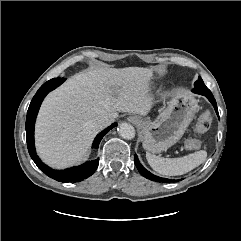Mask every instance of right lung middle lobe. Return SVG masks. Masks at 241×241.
Returning <instances> with one entry per match:
<instances>
[{
	"label": "right lung middle lobe",
	"instance_id": "right-lung-middle-lobe-1",
	"mask_svg": "<svg viewBox=\"0 0 241 241\" xmlns=\"http://www.w3.org/2000/svg\"><path fill=\"white\" fill-rule=\"evenodd\" d=\"M64 81H65V79L60 78V77L51 79V80L47 81L46 83H44L38 91H43V90L51 88V87H53L51 89V90H53L56 87H58L60 84H62Z\"/></svg>",
	"mask_w": 241,
	"mask_h": 241
}]
</instances>
